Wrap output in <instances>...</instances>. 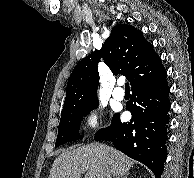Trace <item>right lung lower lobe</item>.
<instances>
[{
    "label": "right lung lower lobe",
    "instance_id": "obj_1",
    "mask_svg": "<svg viewBox=\"0 0 194 178\" xmlns=\"http://www.w3.org/2000/svg\"><path fill=\"white\" fill-rule=\"evenodd\" d=\"M169 91L164 69L133 87L132 99L126 104L132 114L131 122L122 123L117 113L108 128L96 133L95 140L112 141L116 149L142 162L160 178L167 157Z\"/></svg>",
    "mask_w": 194,
    "mask_h": 178
}]
</instances>
